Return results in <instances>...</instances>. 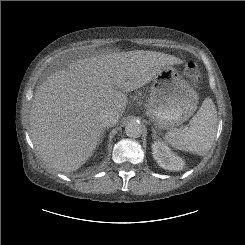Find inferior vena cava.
Here are the masks:
<instances>
[{
  "mask_svg": "<svg viewBox=\"0 0 245 245\" xmlns=\"http://www.w3.org/2000/svg\"><path fill=\"white\" fill-rule=\"evenodd\" d=\"M119 114L112 108H104L100 111L99 119L103 127H112L119 120Z\"/></svg>",
  "mask_w": 245,
  "mask_h": 245,
  "instance_id": "inferior-vena-cava-1",
  "label": "inferior vena cava"
}]
</instances>
